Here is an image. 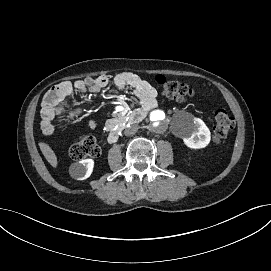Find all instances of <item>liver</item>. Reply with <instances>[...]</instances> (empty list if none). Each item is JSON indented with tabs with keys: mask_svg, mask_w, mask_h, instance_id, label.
Returning <instances> with one entry per match:
<instances>
[{
	"mask_svg": "<svg viewBox=\"0 0 271 271\" xmlns=\"http://www.w3.org/2000/svg\"><path fill=\"white\" fill-rule=\"evenodd\" d=\"M40 148L47 161L55 167L57 165V160L53 151L45 144H40Z\"/></svg>",
	"mask_w": 271,
	"mask_h": 271,
	"instance_id": "obj_1",
	"label": "liver"
}]
</instances>
